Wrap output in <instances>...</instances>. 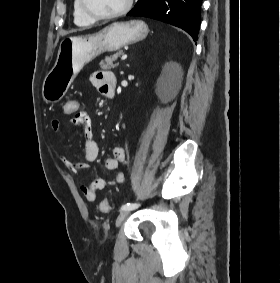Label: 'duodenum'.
Wrapping results in <instances>:
<instances>
[{"instance_id": "1", "label": "duodenum", "mask_w": 280, "mask_h": 283, "mask_svg": "<svg viewBox=\"0 0 280 283\" xmlns=\"http://www.w3.org/2000/svg\"><path fill=\"white\" fill-rule=\"evenodd\" d=\"M114 92H115L114 85H111L110 89L108 91V97L113 98L114 97Z\"/></svg>"}]
</instances>
